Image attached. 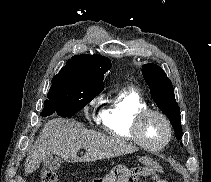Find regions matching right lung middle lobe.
I'll return each mask as SVG.
<instances>
[{"mask_svg": "<svg viewBox=\"0 0 211 182\" xmlns=\"http://www.w3.org/2000/svg\"><path fill=\"white\" fill-rule=\"evenodd\" d=\"M103 89L79 83L72 79L54 76L41 112L43 117L53 113L62 117H71L92 101Z\"/></svg>", "mask_w": 211, "mask_h": 182, "instance_id": "right-lung-middle-lobe-1", "label": "right lung middle lobe"}]
</instances>
